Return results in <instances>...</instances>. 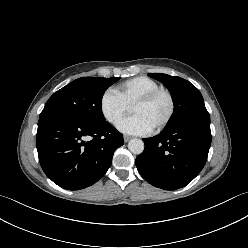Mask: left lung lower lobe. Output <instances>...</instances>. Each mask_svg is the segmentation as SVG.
<instances>
[{"instance_id":"obj_1","label":"left lung lower lobe","mask_w":248,"mask_h":248,"mask_svg":"<svg viewBox=\"0 0 248 248\" xmlns=\"http://www.w3.org/2000/svg\"><path fill=\"white\" fill-rule=\"evenodd\" d=\"M143 141L144 151L136 158L142 177L165 190L182 188L206 163L211 145L209 113L191 117Z\"/></svg>"}]
</instances>
